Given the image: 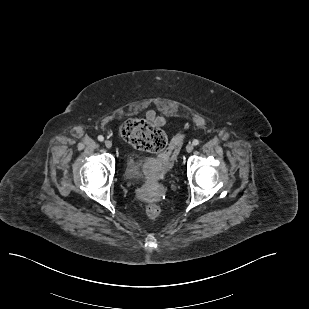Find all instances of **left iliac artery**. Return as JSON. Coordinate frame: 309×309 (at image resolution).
Returning <instances> with one entry per match:
<instances>
[{
  "mask_svg": "<svg viewBox=\"0 0 309 309\" xmlns=\"http://www.w3.org/2000/svg\"><path fill=\"white\" fill-rule=\"evenodd\" d=\"M192 143H193V145L197 146L199 144V140L194 139Z\"/></svg>",
  "mask_w": 309,
  "mask_h": 309,
  "instance_id": "1",
  "label": "left iliac artery"
}]
</instances>
